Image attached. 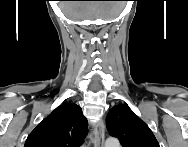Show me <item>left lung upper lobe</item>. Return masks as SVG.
<instances>
[{
	"mask_svg": "<svg viewBox=\"0 0 188 147\" xmlns=\"http://www.w3.org/2000/svg\"><path fill=\"white\" fill-rule=\"evenodd\" d=\"M106 124L123 147H160L150 128L125 104L109 111Z\"/></svg>",
	"mask_w": 188,
	"mask_h": 147,
	"instance_id": "left-lung-upper-lobe-1",
	"label": "left lung upper lobe"
}]
</instances>
